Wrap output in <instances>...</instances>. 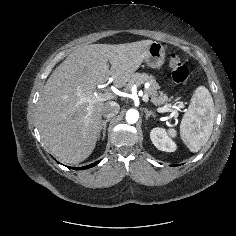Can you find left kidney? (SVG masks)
<instances>
[{
  "label": "left kidney",
  "mask_w": 236,
  "mask_h": 236,
  "mask_svg": "<svg viewBox=\"0 0 236 236\" xmlns=\"http://www.w3.org/2000/svg\"><path fill=\"white\" fill-rule=\"evenodd\" d=\"M152 143L162 151L173 152L176 150V144L168 137L162 128H154L150 132Z\"/></svg>",
  "instance_id": "5707ae66"
}]
</instances>
